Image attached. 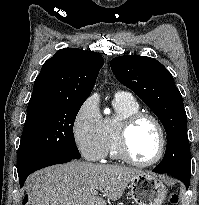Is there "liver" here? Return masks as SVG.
<instances>
[{
  "label": "liver",
  "instance_id": "liver-1",
  "mask_svg": "<svg viewBox=\"0 0 199 205\" xmlns=\"http://www.w3.org/2000/svg\"><path fill=\"white\" fill-rule=\"evenodd\" d=\"M142 171L118 165L72 161L44 168L29 177L31 205H105L94 195L116 201L131 179Z\"/></svg>",
  "mask_w": 199,
  "mask_h": 205
}]
</instances>
